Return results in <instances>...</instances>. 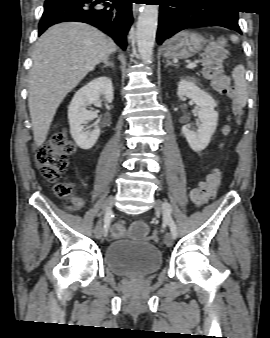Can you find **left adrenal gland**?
Wrapping results in <instances>:
<instances>
[{
	"instance_id": "a2214340",
	"label": "left adrenal gland",
	"mask_w": 270,
	"mask_h": 338,
	"mask_svg": "<svg viewBox=\"0 0 270 338\" xmlns=\"http://www.w3.org/2000/svg\"><path fill=\"white\" fill-rule=\"evenodd\" d=\"M169 65L176 66V64H173L172 62H170L169 60H167L165 68H167Z\"/></svg>"
}]
</instances>
